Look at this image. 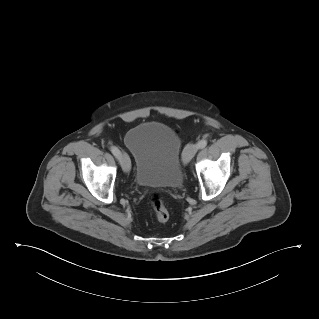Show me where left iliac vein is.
<instances>
[{
  "label": "left iliac vein",
  "mask_w": 319,
  "mask_h": 319,
  "mask_svg": "<svg viewBox=\"0 0 319 319\" xmlns=\"http://www.w3.org/2000/svg\"><path fill=\"white\" fill-rule=\"evenodd\" d=\"M198 150V145L194 143L188 144L183 152L182 160L184 164H188Z\"/></svg>",
  "instance_id": "4c4485c4"
}]
</instances>
